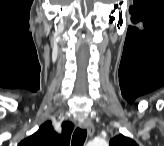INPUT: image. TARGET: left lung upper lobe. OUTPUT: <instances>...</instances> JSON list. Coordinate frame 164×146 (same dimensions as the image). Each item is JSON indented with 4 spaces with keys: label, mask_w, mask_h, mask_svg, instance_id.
<instances>
[{
    "label": "left lung upper lobe",
    "mask_w": 164,
    "mask_h": 146,
    "mask_svg": "<svg viewBox=\"0 0 164 146\" xmlns=\"http://www.w3.org/2000/svg\"><path fill=\"white\" fill-rule=\"evenodd\" d=\"M110 146H137L130 138L119 134L110 140Z\"/></svg>",
    "instance_id": "left-lung-upper-lobe-1"
}]
</instances>
